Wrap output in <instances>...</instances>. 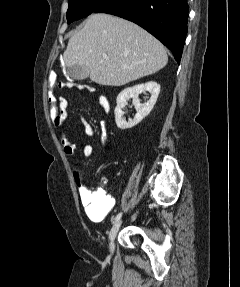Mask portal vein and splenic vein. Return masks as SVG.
Masks as SVG:
<instances>
[{
  "mask_svg": "<svg viewBox=\"0 0 240 287\" xmlns=\"http://www.w3.org/2000/svg\"><path fill=\"white\" fill-rule=\"evenodd\" d=\"M103 58H104V59H107L108 57H107V55H103Z\"/></svg>",
  "mask_w": 240,
  "mask_h": 287,
  "instance_id": "obj_1",
  "label": "portal vein and splenic vein"
}]
</instances>
